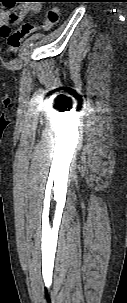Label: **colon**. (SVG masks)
<instances>
[{
  "instance_id": "colon-1",
  "label": "colon",
  "mask_w": 127,
  "mask_h": 303,
  "mask_svg": "<svg viewBox=\"0 0 127 303\" xmlns=\"http://www.w3.org/2000/svg\"><path fill=\"white\" fill-rule=\"evenodd\" d=\"M59 20L60 8L54 5L49 8L46 19L42 24L41 29L49 30L53 26H55L59 22ZM37 30L38 27L36 25L30 22H26L15 31H10L9 34L6 36L10 52H16L22 45V42Z\"/></svg>"
}]
</instances>
